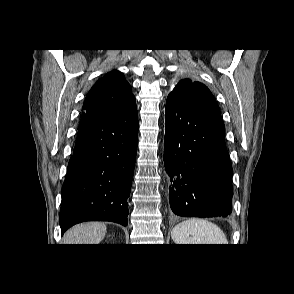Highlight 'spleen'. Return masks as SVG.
Here are the masks:
<instances>
[{
	"label": "spleen",
	"instance_id": "3e777b00",
	"mask_svg": "<svg viewBox=\"0 0 294 294\" xmlns=\"http://www.w3.org/2000/svg\"><path fill=\"white\" fill-rule=\"evenodd\" d=\"M171 237L175 244H228L223 231L206 219L191 218L177 224Z\"/></svg>",
	"mask_w": 294,
	"mask_h": 294
}]
</instances>
